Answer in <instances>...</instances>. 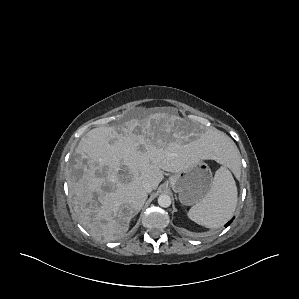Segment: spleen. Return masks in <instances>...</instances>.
Wrapping results in <instances>:
<instances>
[{"mask_svg":"<svg viewBox=\"0 0 299 299\" xmlns=\"http://www.w3.org/2000/svg\"><path fill=\"white\" fill-rule=\"evenodd\" d=\"M233 153L235 154L236 150ZM236 205V183L231 172L224 165L216 171L208 195L191 207L188 217L204 227L218 228L232 217Z\"/></svg>","mask_w":299,"mask_h":299,"instance_id":"obj_1","label":"spleen"}]
</instances>
